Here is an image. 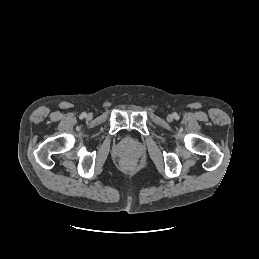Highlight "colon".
<instances>
[{
    "mask_svg": "<svg viewBox=\"0 0 259 259\" xmlns=\"http://www.w3.org/2000/svg\"><path fill=\"white\" fill-rule=\"evenodd\" d=\"M123 169H129L132 166V161L129 159H124L121 163Z\"/></svg>",
    "mask_w": 259,
    "mask_h": 259,
    "instance_id": "1",
    "label": "colon"
}]
</instances>
